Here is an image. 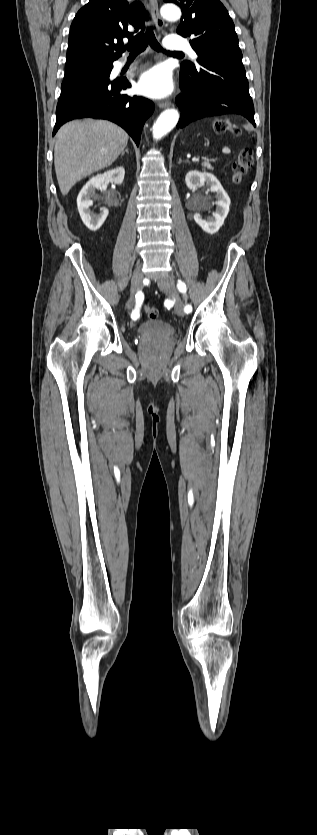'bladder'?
Segmentation results:
<instances>
[{
  "label": "bladder",
  "instance_id": "31cf9c89",
  "mask_svg": "<svg viewBox=\"0 0 317 835\" xmlns=\"http://www.w3.org/2000/svg\"><path fill=\"white\" fill-rule=\"evenodd\" d=\"M137 334L146 340H167L175 334V328L166 321L150 319L139 325Z\"/></svg>",
  "mask_w": 317,
  "mask_h": 835
}]
</instances>
